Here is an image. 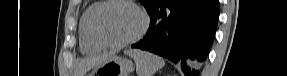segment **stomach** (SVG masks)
Listing matches in <instances>:
<instances>
[{"instance_id":"stomach-1","label":"stomach","mask_w":287,"mask_h":76,"mask_svg":"<svg viewBox=\"0 0 287 76\" xmlns=\"http://www.w3.org/2000/svg\"><path fill=\"white\" fill-rule=\"evenodd\" d=\"M134 69L132 61L111 56L98 64L89 76H128Z\"/></svg>"}]
</instances>
